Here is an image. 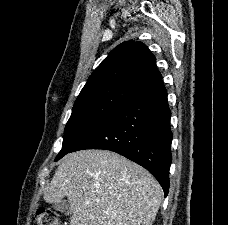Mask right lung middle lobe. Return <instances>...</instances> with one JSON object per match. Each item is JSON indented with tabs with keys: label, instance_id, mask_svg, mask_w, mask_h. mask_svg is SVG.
I'll return each mask as SVG.
<instances>
[{
	"label": "right lung middle lobe",
	"instance_id": "obj_1",
	"mask_svg": "<svg viewBox=\"0 0 228 225\" xmlns=\"http://www.w3.org/2000/svg\"><path fill=\"white\" fill-rule=\"evenodd\" d=\"M140 89L122 82L101 84L81 91L64 133L63 146L55 161L69 153L90 130L110 116Z\"/></svg>",
	"mask_w": 228,
	"mask_h": 225
}]
</instances>
